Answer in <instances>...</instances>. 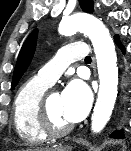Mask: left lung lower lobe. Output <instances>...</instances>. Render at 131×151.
<instances>
[{
	"mask_svg": "<svg viewBox=\"0 0 131 151\" xmlns=\"http://www.w3.org/2000/svg\"><path fill=\"white\" fill-rule=\"evenodd\" d=\"M117 35L115 36V42L117 44V46L121 49V51L123 52V54L125 53V48L124 46L122 45L121 42L117 41ZM110 137H114V138H123L124 137V129H118V130H115L111 135Z\"/></svg>",
	"mask_w": 131,
	"mask_h": 151,
	"instance_id": "obj_1",
	"label": "left lung lower lobe"
}]
</instances>
